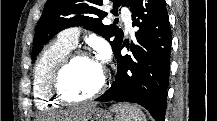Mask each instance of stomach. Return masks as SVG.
<instances>
[{
    "instance_id": "0dacf381",
    "label": "stomach",
    "mask_w": 217,
    "mask_h": 121,
    "mask_svg": "<svg viewBox=\"0 0 217 121\" xmlns=\"http://www.w3.org/2000/svg\"><path fill=\"white\" fill-rule=\"evenodd\" d=\"M83 121H113V116L102 108H93L83 119Z\"/></svg>"
}]
</instances>
